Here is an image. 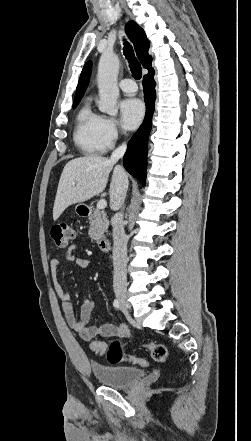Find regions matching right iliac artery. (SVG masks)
<instances>
[{
	"label": "right iliac artery",
	"instance_id": "right-iliac-artery-1",
	"mask_svg": "<svg viewBox=\"0 0 251 441\" xmlns=\"http://www.w3.org/2000/svg\"><path fill=\"white\" fill-rule=\"evenodd\" d=\"M113 306H114L115 309H119L120 304H119V301H118L117 299H115V300L113 301Z\"/></svg>",
	"mask_w": 251,
	"mask_h": 441
}]
</instances>
